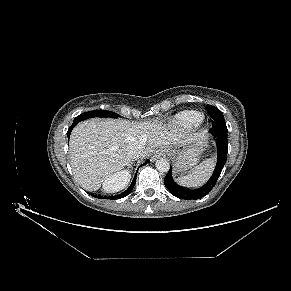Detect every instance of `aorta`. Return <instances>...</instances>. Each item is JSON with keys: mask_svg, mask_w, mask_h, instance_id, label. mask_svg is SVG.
I'll return each instance as SVG.
<instances>
[{"mask_svg": "<svg viewBox=\"0 0 291 291\" xmlns=\"http://www.w3.org/2000/svg\"><path fill=\"white\" fill-rule=\"evenodd\" d=\"M155 165L159 172H167L170 168L169 161L163 158L158 159Z\"/></svg>", "mask_w": 291, "mask_h": 291, "instance_id": "762f6f07", "label": "aorta"}]
</instances>
